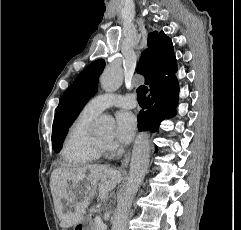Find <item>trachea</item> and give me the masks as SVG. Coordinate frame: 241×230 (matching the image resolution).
Segmentation results:
<instances>
[{
	"instance_id": "3493384b",
	"label": "trachea",
	"mask_w": 241,
	"mask_h": 230,
	"mask_svg": "<svg viewBox=\"0 0 241 230\" xmlns=\"http://www.w3.org/2000/svg\"><path fill=\"white\" fill-rule=\"evenodd\" d=\"M148 92V88L144 85L139 86L137 89V100L139 103H145L147 98L146 94Z\"/></svg>"
}]
</instances>
